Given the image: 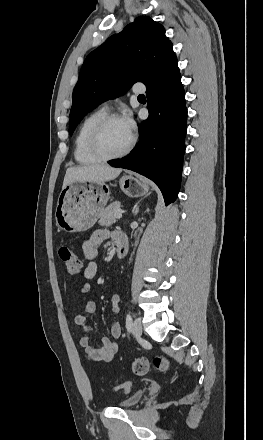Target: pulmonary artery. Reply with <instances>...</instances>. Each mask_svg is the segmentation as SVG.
Returning <instances> with one entry per match:
<instances>
[{
    "label": "pulmonary artery",
    "mask_w": 263,
    "mask_h": 440,
    "mask_svg": "<svg viewBox=\"0 0 263 440\" xmlns=\"http://www.w3.org/2000/svg\"><path fill=\"white\" fill-rule=\"evenodd\" d=\"M144 91H145L144 87H137V86L133 87V92L135 94H142Z\"/></svg>",
    "instance_id": "1"
}]
</instances>
